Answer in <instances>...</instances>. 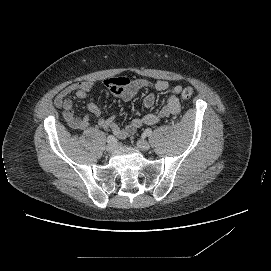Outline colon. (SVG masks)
<instances>
[{"instance_id": "obj_1", "label": "colon", "mask_w": 271, "mask_h": 271, "mask_svg": "<svg viewBox=\"0 0 271 271\" xmlns=\"http://www.w3.org/2000/svg\"><path fill=\"white\" fill-rule=\"evenodd\" d=\"M193 93H194V90L191 87H186L182 90L181 96L183 99H188L192 97Z\"/></svg>"}]
</instances>
